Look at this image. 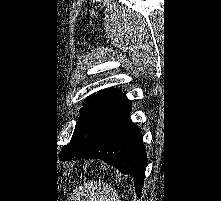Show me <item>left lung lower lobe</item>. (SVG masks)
Wrapping results in <instances>:
<instances>
[{
  "mask_svg": "<svg viewBox=\"0 0 221 201\" xmlns=\"http://www.w3.org/2000/svg\"><path fill=\"white\" fill-rule=\"evenodd\" d=\"M130 111L131 103L127 99L114 106L105 116L91 140L74 155L76 156L74 160L79 158L104 160L121 173L134 177L135 191L140 197L147 156L141 131L129 118Z\"/></svg>",
  "mask_w": 221,
  "mask_h": 201,
  "instance_id": "1",
  "label": "left lung lower lobe"
}]
</instances>
